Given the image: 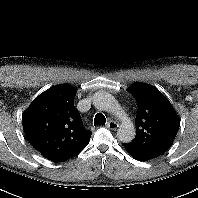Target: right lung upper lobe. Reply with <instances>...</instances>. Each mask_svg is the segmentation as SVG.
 Returning <instances> with one entry per match:
<instances>
[{
    "instance_id": "obj_1",
    "label": "right lung upper lobe",
    "mask_w": 198,
    "mask_h": 198,
    "mask_svg": "<svg viewBox=\"0 0 198 198\" xmlns=\"http://www.w3.org/2000/svg\"><path fill=\"white\" fill-rule=\"evenodd\" d=\"M76 90L54 86L40 94L22 116L25 135L41 154L61 153L89 143L91 132L83 127L74 106Z\"/></svg>"
}]
</instances>
